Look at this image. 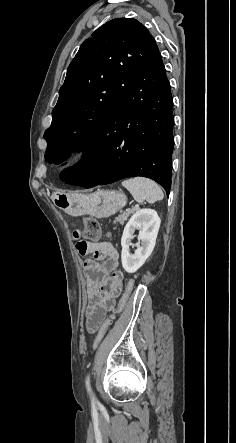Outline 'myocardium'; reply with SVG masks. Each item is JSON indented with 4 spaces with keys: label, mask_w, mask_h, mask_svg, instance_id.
I'll return each mask as SVG.
<instances>
[{
    "label": "myocardium",
    "mask_w": 236,
    "mask_h": 443,
    "mask_svg": "<svg viewBox=\"0 0 236 443\" xmlns=\"http://www.w3.org/2000/svg\"><path fill=\"white\" fill-rule=\"evenodd\" d=\"M87 148L82 144H76L68 148L64 153V163L73 166L80 163L87 155Z\"/></svg>",
    "instance_id": "1"
}]
</instances>
